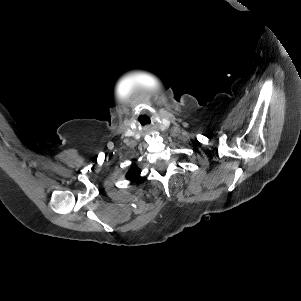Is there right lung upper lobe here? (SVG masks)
<instances>
[{"label": "right lung upper lobe", "mask_w": 301, "mask_h": 301, "mask_svg": "<svg viewBox=\"0 0 301 301\" xmlns=\"http://www.w3.org/2000/svg\"><path fill=\"white\" fill-rule=\"evenodd\" d=\"M140 173L141 170L137 166H132V168L126 174V178L131 181H138L141 178Z\"/></svg>", "instance_id": "1"}]
</instances>
